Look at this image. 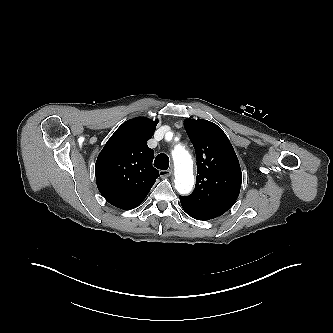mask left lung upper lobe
<instances>
[{"label":"left lung upper lobe","mask_w":333,"mask_h":333,"mask_svg":"<svg viewBox=\"0 0 333 333\" xmlns=\"http://www.w3.org/2000/svg\"><path fill=\"white\" fill-rule=\"evenodd\" d=\"M184 126L195 148L197 177L194 192L180 196V202L221 216L235 203L240 192L242 173L236 153L216 124L187 118Z\"/></svg>","instance_id":"1"}]
</instances>
